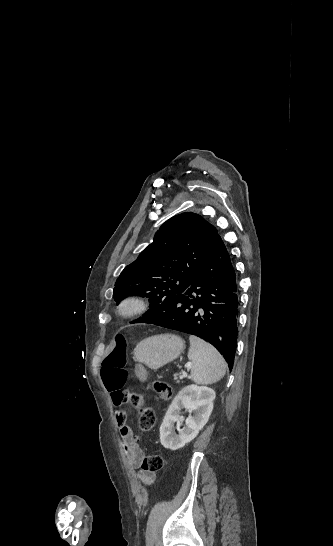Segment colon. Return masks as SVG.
Segmentation results:
<instances>
[{
	"instance_id": "1",
	"label": "colon",
	"mask_w": 333,
	"mask_h": 546,
	"mask_svg": "<svg viewBox=\"0 0 333 546\" xmlns=\"http://www.w3.org/2000/svg\"><path fill=\"white\" fill-rule=\"evenodd\" d=\"M127 342L122 334H118L110 345V350L103 360L101 368V378L105 388L109 392L123 390L127 380ZM147 389L152 391L161 399H169L172 395L171 387L168 383L160 380H154L147 385ZM123 402L130 403L137 411L139 424L142 430L149 431L155 425V415L152 409L146 404L143 396L123 392ZM165 459L160 453H150L144 457L142 468L148 472H156L163 469Z\"/></svg>"
}]
</instances>
